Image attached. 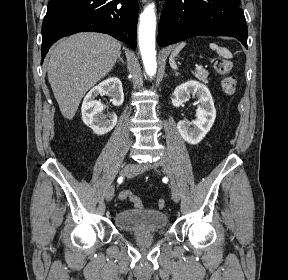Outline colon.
I'll list each match as a JSON object with an SVG mask.
<instances>
[{"label":"colon","mask_w":288,"mask_h":280,"mask_svg":"<svg viewBox=\"0 0 288 280\" xmlns=\"http://www.w3.org/2000/svg\"><path fill=\"white\" fill-rule=\"evenodd\" d=\"M215 71L221 76V88L222 91L231 95L236 90V76L232 72V63L227 59H217L214 63ZM121 200H129L133 203V205L137 208L143 207L142 201L139 197L132 194L130 191H122L119 195ZM165 200L159 199L157 202V206L159 209H163L165 207Z\"/></svg>","instance_id":"1"}]
</instances>
